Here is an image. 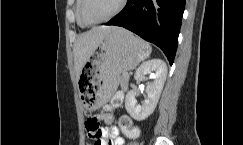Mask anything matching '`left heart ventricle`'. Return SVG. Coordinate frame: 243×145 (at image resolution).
<instances>
[{
    "label": "left heart ventricle",
    "mask_w": 243,
    "mask_h": 145,
    "mask_svg": "<svg viewBox=\"0 0 243 145\" xmlns=\"http://www.w3.org/2000/svg\"><path fill=\"white\" fill-rule=\"evenodd\" d=\"M121 0H86L84 14L88 22L100 21L119 6Z\"/></svg>",
    "instance_id": "left-heart-ventricle-1"
}]
</instances>
